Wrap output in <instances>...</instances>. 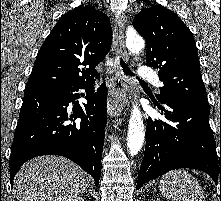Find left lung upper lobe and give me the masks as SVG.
Segmentation results:
<instances>
[{"mask_svg":"<svg viewBox=\"0 0 221 201\" xmlns=\"http://www.w3.org/2000/svg\"><path fill=\"white\" fill-rule=\"evenodd\" d=\"M133 27L146 41L147 66L159 69L164 84L156 97L208 102L196 44L181 19L166 7L154 5L135 16Z\"/></svg>","mask_w":221,"mask_h":201,"instance_id":"1","label":"left lung upper lobe"}]
</instances>
